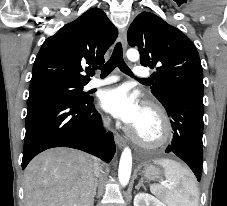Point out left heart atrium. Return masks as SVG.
I'll return each instance as SVG.
<instances>
[{"label": "left heart atrium", "mask_w": 227, "mask_h": 206, "mask_svg": "<svg viewBox=\"0 0 227 206\" xmlns=\"http://www.w3.org/2000/svg\"><path fill=\"white\" fill-rule=\"evenodd\" d=\"M100 102L104 110L132 127L138 125L144 112V108L125 86L105 90Z\"/></svg>", "instance_id": "39dd6f15"}]
</instances>
